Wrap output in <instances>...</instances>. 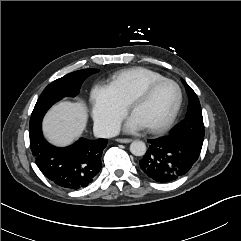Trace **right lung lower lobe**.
<instances>
[{"label": "right lung lower lobe", "mask_w": 241, "mask_h": 241, "mask_svg": "<svg viewBox=\"0 0 241 241\" xmlns=\"http://www.w3.org/2000/svg\"><path fill=\"white\" fill-rule=\"evenodd\" d=\"M30 148L41 172L66 189L88 186L101 169V156L107 139L80 138L73 145L58 148L43 137L41 123L29 130Z\"/></svg>", "instance_id": "obj_1"}]
</instances>
